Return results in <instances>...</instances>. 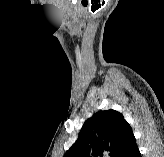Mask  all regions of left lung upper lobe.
Listing matches in <instances>:
<instances>
[{
  "instance_id": "5c2ea615",
  "label": "left lung upper lobe",
  "mask_w": 164,
  "mask_h": 157,
  "mask_svg": "<svg viewBox=\"0 0 164 157\" xmlns=\"http://www.w3.org/2000/svg\"><path fill=\"white\" fill-rule=\"evenodd\" d=\"M133 136L131 126L115 110L98 111L83 125L77 141L63 157H116Z\"/></svg>"
}]
</instances>
